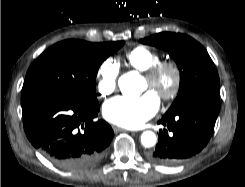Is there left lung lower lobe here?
Segmentation results:
<instances>
[{"mask_svg": "<svg viewBox=\"0 0 245 187\" xmlns=\"http://www.w3.org/2000/svg\"><path fill=\"white\" fill-rule=\"evenodd\" d=\"M219 109V96H211L165 114L158 124L168 129L159 131V142L149 159L157 164L173 165L200 152L211 137Z\"/></svg>", "mask_w": 245, "mask_h": 187, "instance_id": "obj_1", "label": "left lung lower lobe"}]
</instances>
